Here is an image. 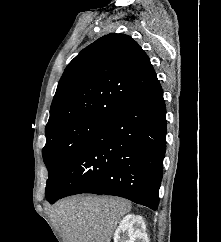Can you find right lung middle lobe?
Here are the masks:
<instances>
[{
    "label": "right lung middle lobe",
    "mask_w": 221,
    "mask_h": 242,
    "mask_svg": "<svg viewBox=\"0 0 221 242\" xmlns=\"http://www.w3.org/2000/svg\"><path fill=\"white\" fill-rule=\"evenodd\" d=\"M102 122L103 119L85 118L59 125L45 132L47 141L42 155L48 169L46 198L71 158Z\"/></svg>",
    "instance_id": "obj_1"
}]
</instances>
